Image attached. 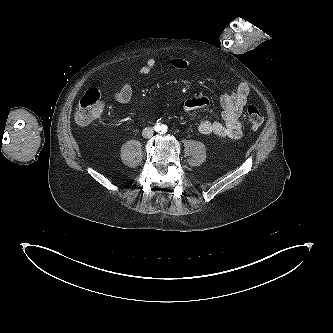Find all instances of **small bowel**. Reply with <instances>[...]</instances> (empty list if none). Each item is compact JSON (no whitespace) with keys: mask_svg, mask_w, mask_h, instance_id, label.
<instances>
[{"mask_svg":"<svg viewBox=\"0 0 333 333\" xmlns=\"http://www.w3.org/2000/svg\"><path fill=\"white\" fill-rule=\"evenodd\" d=\"M170 63L176 68H186L188 62L182 58H172ZM156 66V60L148 59L141 67L142 74L150 73ZM133 95V89L129 82H125L120 90L113 94V99L121 104L128 103ZM249 96V88L245 83H240L236 90L231 93H224L220 97V103L223 107L222 121H210L207 119H196L193 114L197 110L204 109L209 106L210 101L205 96L194 97L186 100L181 109L184 113L190 115L198 131L204 135H216L220 137H228L230 139H239L242 136L240 115L247 103Z\"/></svg>","mask_w":333,"mask_h":333,"instance_id":"obj_1","label":"small bowel"}]
</instances>
